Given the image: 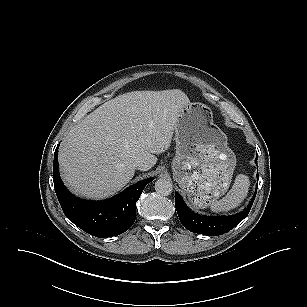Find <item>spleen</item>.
<instances>
[{"label":"spleen","instance_id":"1","mask_svg":"<svg viewBox=\"0 0 307 307\" xmlns=\"http://www.w3.org/2000/svg\"><path fill=\"white\" fill-rule=\"evenodd\" d=\"M250 186L249 177L244 174L236 176L234 184L225 197L210 203V209L215 212H227L238 207L247 197Z\"/></svg>","mask_w":307,"mask_h":307}]
</instances>
